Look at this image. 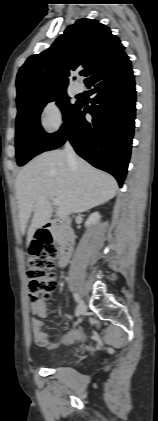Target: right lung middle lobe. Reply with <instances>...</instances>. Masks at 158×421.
<instances>
[{"label":"right lung middle lobe","mask_w":158,"mask_h":421,"mask_svg":"<svg viewBox=\"0 0 158 421\" xmlns=\"http://www.w3.org/2000/svg\"><path fill=\"white\" fill-rule=\"evenodd\" d=\"M51 101H57V105L63 112L64 121L68 119L79 103L77 101L75 104H71L66 90H58L17 104L16 158L19 166L42 153L56 134H46L39 120L43 107Z\"/></svg>","instance_id":"right-lung-middle-lobe-1"}]
</instances>
